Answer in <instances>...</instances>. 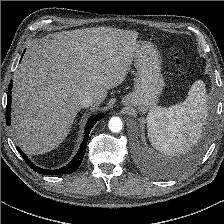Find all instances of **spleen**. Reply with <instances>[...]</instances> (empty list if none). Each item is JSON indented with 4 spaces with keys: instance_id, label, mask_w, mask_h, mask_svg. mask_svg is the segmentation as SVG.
Segmentation results:
<instances>
[{
    "instance_id": "1",
    "label": "spleen",
    "mask_w": 224,
    "mask_h": 224,
    "mask_svg": "<svg viewBox=\"0 0 224 224\" xmlns=\"http://www.w3.org/2000/svg\"><path fill=\"white\" fill-rule=\"evenodd\" d=\"M207 115L205 84L197 80L183 102L150 110L147 116L148 137L161 153H183L201 137Z\"/></svg>"
}]
</instances>
